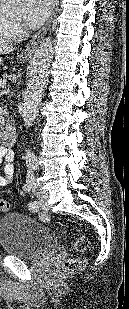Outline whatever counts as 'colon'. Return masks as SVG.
Segmentation results:
<instances>
[{"label": "colon", "mask_w": 129, "mask_h": 309, "mask_svg": "<svg viewBox=\"0 0 129 309\" xmlns=\"http://www.w3.org/2000/svg\"><path fill=\"white\" fill-rule=\"evenodd\" d=\"M11 206L12 205H11L10 202L0 198V211H3V212L8 211L11 208ZM44 214L45 213L40 212L39 216L43 217ZM89 244H90V242H89L88 238L83 234H79L76 237L74 246H75V249L77 251L83 252V251L88 249ZM84 263H85L84 258H82V257H72V258H69V259H67L63 262L62 270L65 273H72V272L80 270L83 267Z\"/></svg>", "instance_id": "colon-1"}]
</instances>
